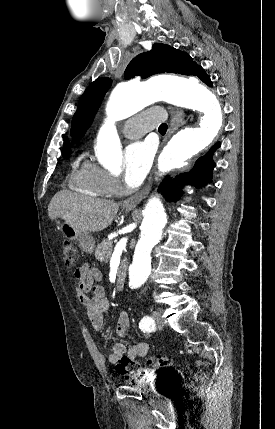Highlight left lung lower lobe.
I'll return each mask as SVG.
<instances>
[{"mask_svg":"<svg viewBox=\"0 0 275 429\" xmlns=\"http://www.w3.org/2000/svg\"><path fill=\"white\" fill-rule=\"evenodd\" d=\"M205 84L212 86V81L210 77L205 73L203 68H200L197 75ZM221 146L220 143H216L209 152L204 156L199 158L194 167L187 173L180 174L176 179L171 180V178H165V180L160 184L159 188L165 194L167 200H177L182 195V191L178 189V185L194 184L200 185L203 183H209L212 181V169L215 166V163L212 159L213 152Z\"/></svg>","mask_w":275,"mask_h":429,"instance_id":"obj_1","label":"left lung lower lobe"}]
</instances>
